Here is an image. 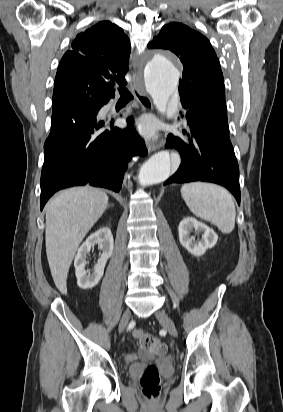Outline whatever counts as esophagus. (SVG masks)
<instances>
[{
  "label": "esophagus",
  "mask_w": 283,
  "mask_h": 412,
  "mask_svg": "<svg viewBox=\"0 0 283 412\" xmlns=\"http://www.w3.org/2000/svg\"><path fill=\"white\" fill-rule=\"evenodd\" d=\"M139 67L138 64L135 63L134 68ZM131 88L135 99L138 101L139 105L141 106L142 111H151L152 110V101L150 97L144 90V87H140L139 85V78L137 71L134 70L132 72V81H131ZM158 148L156 143H150L148 145V151L152 152Z\"/></svg>",
  "instance_id": "1"
}]
</instances>
